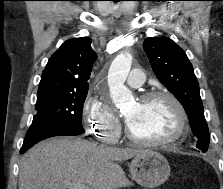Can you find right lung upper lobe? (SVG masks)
Listing matches in <instances>:
<instances>
[{
    "label": "right lung upper lobe",
    "mask_w": 223,
    "mask_h": 189,
    "mask_svg": "<svg viewBox=\"0 0 223 189\" xmlns=\"http://www.w3.org/2000/svg\"><path fill=\"white\" fill-rule=\"evenodd\" d=\"M91 38L69 39L50 57L38 93L88 89V79L97 54Z\"/></svg>",
    "instance_id": "obj_1"
}]
</instances>
